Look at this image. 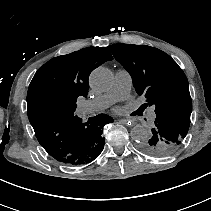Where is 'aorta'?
Instances as JSON below:
<instances>
[{"label": "aorta", "instance_id": "1", "mask_svg": "<svg viewBox=\"0 0 211 211\" xmlns=\"http://www.w3.org/2000/svg\"><path fill=\"white\" fill-rule=\"evenodd\" d=\"M113 74L105 67L96 68L90 75L89 83L93 90L103 92L112 86ZM131 138L136 142H143L150 137L149 130L143 125H135L130 131Z\"/></svg>", "mask_w": 211, "mask_h": 211}]
</instances>
